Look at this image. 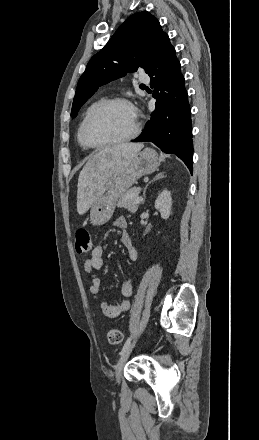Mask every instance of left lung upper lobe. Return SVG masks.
Returning <instances> with one entry per match:
<instances>
[{"label": "left lung upper lobe", "instance_id": "1", "mask_svg": "<svg viewBox=\"0 0 259 440\" xmlns=\"http://www.w3.org/2000/svg\"><path fill=\"white\" fill-rule=\"evenodd\" d=\"M167 34L147 11L131 15L94 55L78 81L71 116L104 84L138 69L147 71Z\"/></svg>", "mask_w": 259, "mask_h": 440}]
</instances>
